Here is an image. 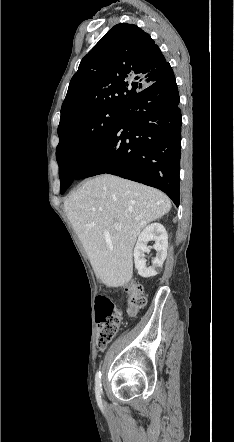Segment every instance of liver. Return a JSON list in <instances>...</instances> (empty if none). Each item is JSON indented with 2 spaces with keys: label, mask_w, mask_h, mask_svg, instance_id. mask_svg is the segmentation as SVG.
<instances>
[{
  "label": "liver",
  "mask_w": 234,
  "mask_h": 442,
  "mask_svg": "<svg viewBox=\"0 0 234 442\" xmlns=\"http://www.w3.org/2000/svg\"><path fill=\"white\" fill-rule=\"evenodd\" d=\"M64 210L96 276L106 286L120 287L133 276L132 251L138 235L171 210V201L157 189L104 174L72 193Z\"/></svg>",
  "instance_id": "obj_1"
}]
</instances>
